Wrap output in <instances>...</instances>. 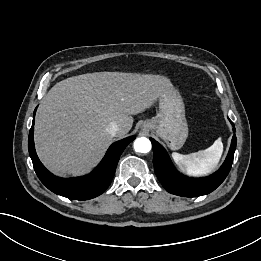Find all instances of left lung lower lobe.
Here are the masks:
<instances>
[{
    "label": "left lung lower lobe",
    "instance_id": "left-lung-lower-lobe-1",
    "mask_svg": "<svg viewBox=\"0 0 261 261\" xmlns=\"http://www.w3.org/2000/svg\"><path fill=\"white\" fill-rule=\"evenodd\" d=\"M232 125L234 126L233 123ZM233 131H235L234 127ZM151 142L154 153L153 164L157 178L168 192L183 197H198L214 191L227 177L236 149V135L234 134L228 155L220 169L208 177L195 179L178 173L165 149L155 140L151 139Z\"/></svg>",
    "mask_w": 261,
    "mask_h": 261
}]
</instances>
